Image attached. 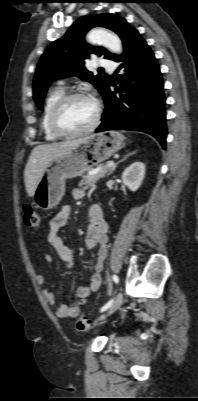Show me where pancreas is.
<instances>
[{
    "label": "pancreas",
    "mask_w": 198,
    "mask_h": 401,
    "mask_svg": "<svg viewBox=\"0 0 198 401\" xmlns=\"http://www.w3.org/2000/svg\"><path fill=\"white\" fill-rule=\"evenodd\" d=\"M111 168L107 166V164L105 165H100L99 166V171L95 174H87L82 176V180L79 182V187H82L83 189H88L91 188L95 185V183L103 178L107 172L110 170Z\"/></svg>",
    "instance_id": "cf45deb5"
}]
</instances>
